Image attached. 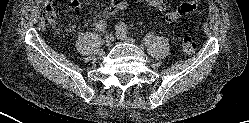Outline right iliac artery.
I'll return each mask as SVG.
<instances>
[{"mask_svg": "<svg viewBox=\"0 0 249 123\" xmlns=\"http://www.w3.org/2000/svg\"><path fill=\"white\" fill-rule=\"evenodd\" d=\"M95 27H96V29H97L98 31H100V32H105L107 26H106L105 21L100 20V21H98V22L95 24Z\"/></svg>", "mask_w": 249, "mask_h": 123, "instance_id": "82829eb1", "label": "right iliac artery"}]
</instances>
